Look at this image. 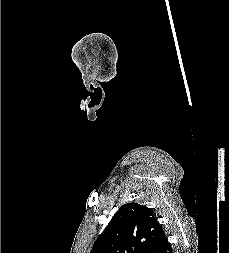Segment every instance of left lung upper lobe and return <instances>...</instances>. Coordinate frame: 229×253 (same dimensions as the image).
<instances>
[{
  "label": "left lung upper lobe",
  "instance_id": "1",
  "mask_svg": "<svg viewBox=\"0 0 229 253\" xmlns=\"http://www.w3.org/2000/svg\"><path fill=\"white\" fill-rule=\"evenodd\" d=\"M165 238L152 211L138 203L122 205L90 253H155Z\"/></svg>",
  "mask_w": 229,
  "mask_h": 253
}]
</instances>
